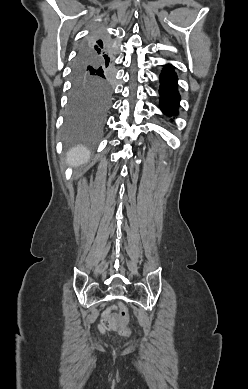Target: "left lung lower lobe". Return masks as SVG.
I'll return each instance as SVG.
<instances>
[{
	"label": "left lung lower lobe",
	"instance_id": "0a47b994",
	"mask_svg": "<svg viewBox=\"0 0 248 389\" xmlns=\"http://www.w3.org/2000/svg\"><path fill=\"white\" fill-rule=\"evenodd\" d=\"M160 108L163 113L171 116L177 115L180 102L178 92L177 76L174 67L170 64L165 65L160 75Z\"/></svg>",
	"mask_w": 248,
	"mask_h": 389
}]
</instances>
